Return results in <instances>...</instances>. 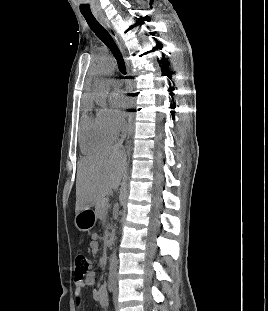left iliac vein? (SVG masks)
I'll use <instances>...</instances> for the list:
<instances>
[{"label": "left iliac vein", "mask_w": 268, "mask_h": 311, "mask_svg": "<svg viewBox=\"0 0 268 311\" xmlns=\"http://www.w3.org/2000/svg\"><path fill=\"white\" fill-rule=\"evenodd\" d=\"M113 300H114V305H115V311H119V305H118V288H117V284H115V290H114Z\"/></svg>", "instance_id": "4c4485c4"}]
</instances>
